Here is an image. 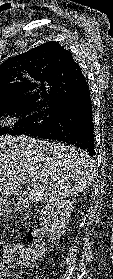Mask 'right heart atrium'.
<instances>
[{
  "instance_id": "right-heart-atrium-1",
  "label": "right heart atrium",
  "mask_w": 113,
  "mask_h": 279,
  "mask_svg": "<svg viewBox=\"0 0 113 279\" xmlns=\"http://www.w3.org/2000/svg\"><path fill=\"white\" fill-rule=\"evenodd\" d=\"M19 115L15 112H7L2 118V124L5 127L11 128L19 121Z\"/></svg>"
}]
</instances>
